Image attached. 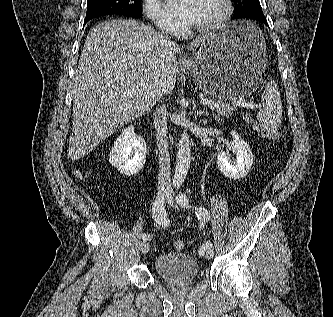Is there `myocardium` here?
Wrapping results in <instances>:
<instances>
[{
	"label": "myocardium",
	"instance_id": "f54148a6",
	"mask_svg": "<svg viewBox=\"0 0 333 317\" xmlns=\"http://www.w3.org/2000/svg\"><path fill=\"white\" fill-rule=\"evenodd\" d=\"M219 12L209 23L203 26H192L191 31L198 34H207L219 28L230 16L232 10L231 0H218Z\"/></svg>",
	"mask_w": 333,
	"mask_h": 317
}]
</instances>
